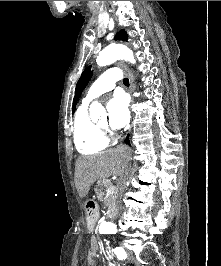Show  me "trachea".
<instances>
[{"label": "trachea", "instance_id": "obj_1", "mask_svg": "<svg viewBox=\"0 0 221 266\" xmlns=\"http://www.w3.org/2000/svg\"><path fill=\"white\" fill-rule=\"evenodd\" d=\"M123 83H124V85L129 86V79L128 78H124L123 79Z\"/></svg>", "mask_w": 221, "mask_h": 266}]
</instances>
